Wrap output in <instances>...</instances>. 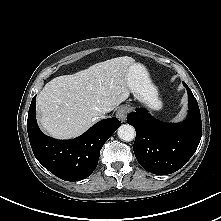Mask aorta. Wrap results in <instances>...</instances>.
<instances>
[{"label":"aorta","mask_w":221,"mask_h":221,"mask_svg":"<svg viewBox=\"0 0 221 221\" xmlns=\"http://www.w3.org/2000/svg\"><path fill=\"white\" fill-rule=\"evenodd\" d=\"M118 137L124 141H132L135 138V129L129 124H123L118 128Z\"/></svg>","instance_id":"aorta-1"}]
</instances>
